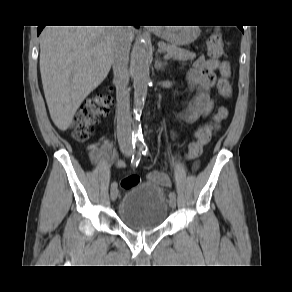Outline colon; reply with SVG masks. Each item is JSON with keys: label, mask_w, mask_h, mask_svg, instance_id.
<instances>
[{"label": "colon", "mask_w": 292, "mask_h": 292, "mask_svg": "<svg viewBox=\"0 0 292 292\" xmlns=\"http://www.w3.org/2000/svg\"><path fill=\"white\" fill-rule=\"evenodd\" d=\"M208 55L215 60L225 57L224 43L221 33L215 31L210 35L207 41ZM219 94L228 99L232 95V87L226 78H220L217 82ZM112 106V100L106 94H96L88 99L81 107L72 123V136L79 142L86 141L93 133L100 117L107 114ZM229 110L226 107H220L213 115L212 119L201 126L195 133V141L190 143L187 158L195 159L202 155L204 147L210 142L214 127L217 123L226 119ZM140 183V177L132 174L121 181L123 189L131 188Z\"/></svg>", "instance_id": "obj_1"}]
</instances>
